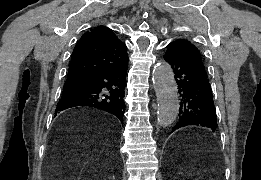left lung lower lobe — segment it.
Masks as SVG:
<instances>
[{
    "label": "left lung lower lobe",
    "instance_id": "left-lung-lower-lobe-1",
    "mask_svg": "<svg viewBox=\"0 0 261 180\" xmlns=\"http://www.w3.org/2000/svg\"><path fill=\"white\" fill-rule=\"evenodd\" d=\"M164 59L174 70L180 96L179 119L172 132L188 125L218 127L212 90L203 65L192 60L184 48L169 44Z\"/></svg>",
    "mask_w": 261,
    "mask_h": 180
}]
</instances>
